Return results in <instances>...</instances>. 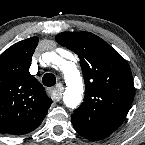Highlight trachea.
<instances>
[{"label":"trachea","mask_w":145,"mask_h":145,"mask_svg":"<svg viewBox=\"0 0 145 145\" xmlns=\"http://www.w3.org/2000/svg\"><path fill=\"white\" fill-rule=\"evenodd\" d=\"M42 82L45 86L51 87L55 85L56 78L52 73H46L42 78Z\"/></svg>","instance_id":"obj_1"}]
</instances>
